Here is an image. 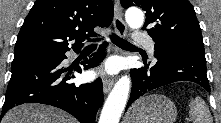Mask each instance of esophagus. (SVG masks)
<instances>
[{
	"label": "esophagus",
	"instance_id": "1",
	"mask_svg": "<svg viewBox=\"0 0 221 123\" xmlns=\"http://www.w3.org/2000/svg\"><path fill=\"white\" fill-rule=\"evenodd\" d=\"M114 29L117 34L125 36L126 34V24L122 18L121 7L118 1L114 3V19H113ZM114 84V78L105 76L103 79V91L107 94Z\"/></svg>",
	"mask_w": 221,
	"mask_h": 123
}]
</instances>
